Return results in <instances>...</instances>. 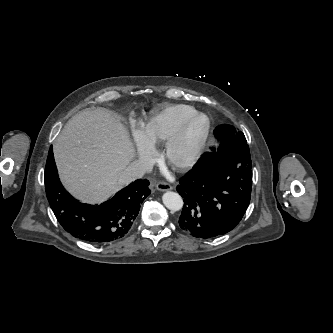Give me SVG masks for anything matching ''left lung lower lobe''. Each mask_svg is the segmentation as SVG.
<instances>
[{
  "label": "left lung lower lobe",
  "instance_id": "1",
  "mask_svg": "<svg viewBox=\"0 0 333 333\" xmlns=\"http://www.w3.org/2000/svg\"><path fill=\"white\" fill-rule=\"evenodd\" d=\"M214 135L221 141L218 151L205 153L177 186L184 201L179 225L203 239L233 230L251 199L252 161L248 144L232 151L223 147L225 141L244 134L223 124L214 130Z\"/></svg>",
  "mask_w": 333,
  "mask_h": 333
}]
</instances>
